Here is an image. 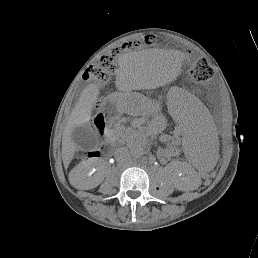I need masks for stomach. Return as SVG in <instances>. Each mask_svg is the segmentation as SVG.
Listing matches in <instances>:
<instances>
[{
  "mask_svg": "<svg viewBox=\"0 0 258 258\" xmlns=\"http://www.w3.org/2000/svg\"><path fill=\"white\" fill-rule=\"evenodd\" d=\"M123 97H124V98H127V97H126V94H123Z\"/></svg>",
  "mask_w": 258,
  "mask_h": 258,
  "instance_id": "stomach-1",
  "label": "stomach"
}]
</instances>
